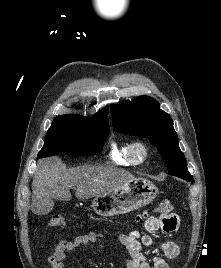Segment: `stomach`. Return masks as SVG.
I'll return each instance as SVG.
<instances>
[{
    "instance_id": "1",
    "label": "stomach",
    "mask_w": 221,
    "mask_h": 268,
    "mask_svg": "<svg viewBox=\"0 0 221 268\" xmlns=\"http://www.w3.org/2000/svg\"><path fill=\"white\" fill-rule=\"evenodd\" d=\"M158 193L156 186L143 178L130 180L93 199L94 212L103 217L129 213L151 203Z\"/></svg>"
}]
</instances>
